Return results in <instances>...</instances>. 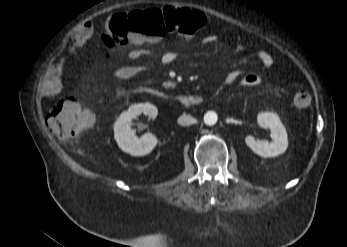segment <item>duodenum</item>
I'll use <instances>...</instances> for the list:
<instances>
[{"mask_svg": "<svg viewBox=\"0 0 347 247\" xmlns=\"http://www.w3.org/2000/svg\"><path fill=\"white\" fill-rule=\"evenodd\" d=\"M147 94L153 95L155 97H159L162 99H167L169 96L161 91L152 90L151 92H146ZM176 102L185 107L197 106L203 102V98L197 94L191 95H180L172 97Z\"/></svg>", "mask_w": 347, "mask_h": 247, "instance_id": "duodenum-1", "label": "duodenum"}]
</instances>
